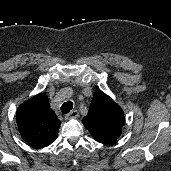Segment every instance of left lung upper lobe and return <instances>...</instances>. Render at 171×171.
Segmentation results:
<instances>
[{
    "mask_svg": "<svg viewBox=\"0 0 171 171\" xmlns=\"http://www.w3.org/2000/svg\"><path fill=\"white\" fill-rule=\"evenodd\" d=\"M82 122L96 141L112 143L122 133L124 112L108 95L98 90Z\"/></svg>",
    "mask_w": 171,
    "mask_h": 171,
    "instance_id": "1",
    "label": "left lung upper lobe"
}]
</instances>
